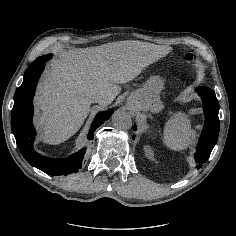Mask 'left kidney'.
<instances>
[{"instance_id": "5707ae66", "label": "left kidney", "mask_w": 236, "mask_h": 236, "mask_svg": "<svg viewBox=\"0 0 236 236\" xmlns=\"http://www.w3.org/2000/svg\"><path fill=\"white\" fill-rule=\"evenodd\" d=\"M146 153L148 154V156L151 158V152L149 149H146Z\"/></svg>"}]
</instances>
